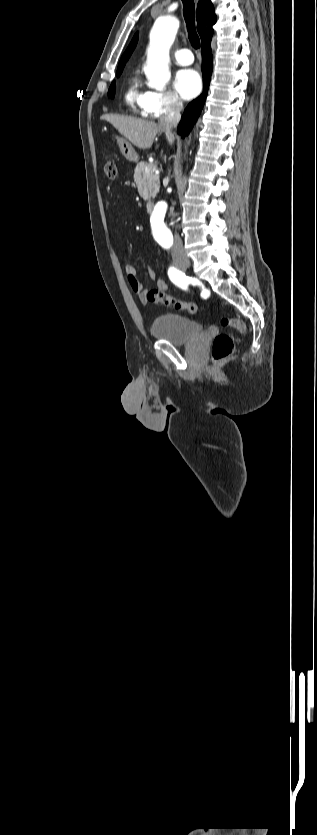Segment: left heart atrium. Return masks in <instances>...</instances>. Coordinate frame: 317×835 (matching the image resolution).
<instances>
[{
  "instance_id": "39dd6f15",
  "label": "left heart atrium",
  "mask_w": 317,
  "mask_h": 835,
  "mask_svg": "<svg viewBox=\"0 0 317 835\" xmlns=\"http://www.w3.org/2000/svg\"><path fill=\"white\" fill-rule=\"evenodd\" d=\"M174 86L184 99H191L201 90V79L193 69H182L177 72Z\"/></svg>"
}]
</instances>
